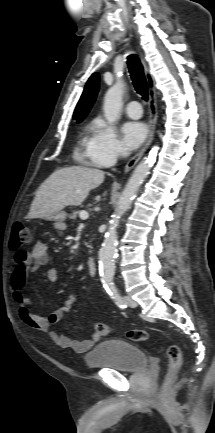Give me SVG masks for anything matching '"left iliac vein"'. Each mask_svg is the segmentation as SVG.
Here are the masks:
<instances>
[{
  "label": "left iliac vein",
  "instance_id": "obj_1",
  "mask_svg": "<svg viewBox=\"0 0 215 433\" xmlns=\"http://www.w3.org/2000/svg\"><path fill=\"white\" fill-rule=\"evenodd\" d=\"M123 300H124V303H125L127 306L131 307V308H136V307L138 306L137 302L134 301V300H133L131 297H129V296H124Z\"/></svg>",
  "mask_w": 215,
  "mask_h": 433
}]
</instances>
